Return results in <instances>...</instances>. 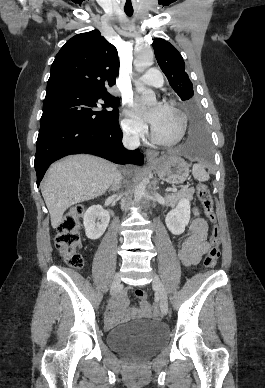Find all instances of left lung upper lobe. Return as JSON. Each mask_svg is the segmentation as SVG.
<instances>
[{"label": "left lung upper lobe", "instance_id": "obj_1", "mask_svg": "<svg viewBox=\"0 0 265 388\" xmlns=\"http://www.w3.org/2000/svg\"><path fill=\"white\" fill-rule=\"evenodd\" d=\"M157 62L166 75L170 85L183 100H189L193 95V85L185 72V63L181 54L168 41L157 38L153 42ZM187 107L198 108L195 102H187Z\"/></svg>", "mask_w": 265, "mask_h": 388}]
</instances>
